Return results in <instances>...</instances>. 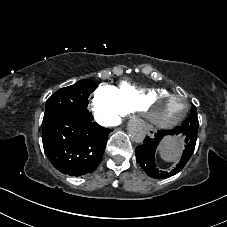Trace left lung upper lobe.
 Instances as JSON below:
<instances>
[{
  "instance_id": "left-lung-upper-lobe-1",
  "label": "left lung upper lobe",
  "mask_w": 227,
  "mask_h": 227,
  "mask_svg": "<svg viewBox=\"0 0 227 227\" xmlns=\"http://www.w3.org/2000/svg\"><path fill=\"white\" fill-rule=\"evenodd\" d=\"M198 117H197V109L195 106L191 108V113L189 114L188 118L183 122L181 127L183 129L194 130L198 131Z\"/></svg>"
}]
</instances>
